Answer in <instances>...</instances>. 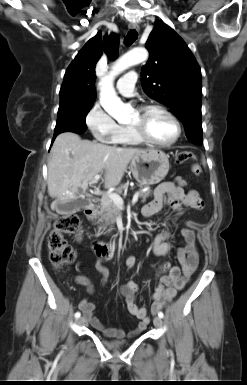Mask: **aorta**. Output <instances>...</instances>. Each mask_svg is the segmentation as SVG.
Returning <instances> with one entry per match:
<instances>
[{"label": "aorta", "mask_w": 247, "mask_h": 385, "mask_svg": "<svg viewBox=\"0 0 247 385\" xmlns=\"http://www.w3.org/2000/svg\"><path fill=\"white\" fill-rule=\"evenodd\" d=\"M148 59V51L144 48H136L118 59L111 68V71L105 76L100 85V103L104 110L117 120L127 117L132 108L123 103L117 96L113 82L117 75L131 66L139 64Z\"/></svg>", "instance_id": "obj_1"}]
</instances>
